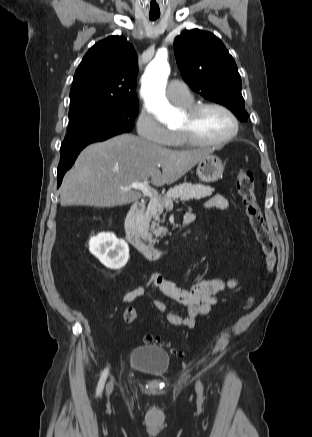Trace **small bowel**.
<instances>
[{
    "instance_id": "1",
    "label": "small bowel",
    "mask_w": 312,
    "mask_h": 437,
    "mask_svg": "<svg viewBox=\"0 0 312 437\" xmlns=\"http://www.w3.org/2000/svg\"><path fill=\"white\" fill-rule=\"evenodd\" d=\"M206 208L226 210L229 206L227 199L222 195L210 198ZM191 222L195 220L193 213H187L184 218ZM237 285L235 279L207 278L193 283L189 287H182L175 282L167 280L159 273L149 276L144 285L135 287L123 296V303L128 304L142 296H148L153 290L159 291L164 296L186 306V315H181L169 308L167 303L160 298L153 299V306L160 312H166L168 323L174 326L194 328L199 317L209 314L212 306L217 301V294L226 288H234Z\"/></svg>"
}]
</instances>
